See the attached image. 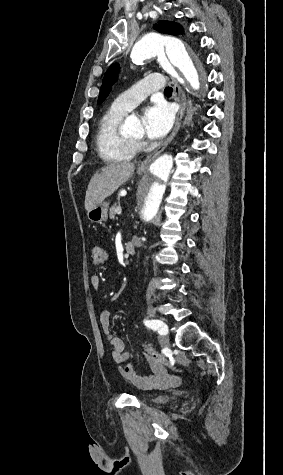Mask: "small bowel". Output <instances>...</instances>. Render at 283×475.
Wrapping results in <instances>:
<instances>
[{"label":"small bowel","instance_id":"1","mask_svg":"<svg viewBox=\"0 0 283 475\" xmlns=\"http://www.w3.org/2000/svg\"><path fill=\"white\" fill-rule=\"evenodd\" d=\"M90 284L94 290H98L101 285L100 276L97 274L91 275ZM99 324L104 336L111 345L112 360L117 364L126 363V365L121 369V374L125 379L129 380L138 387H145L148 385H169L177 384L179 382L178 377L170 375L165 366L162 369H151V375H138L134 370L132 354L125 350V343L123 339L111 333L110 313L107 310H102L100 312Z\"/></svg>","mask_w":283,"mask_h":475}]
</instances>
